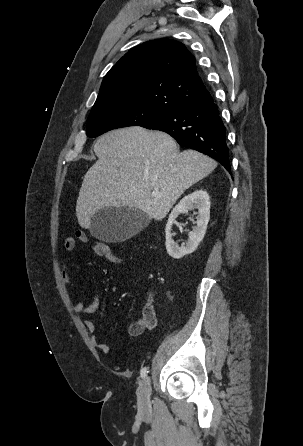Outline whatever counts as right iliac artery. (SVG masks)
Returning <instances> with one entry per match:
<instances>
[{
    "mask_svg": "<svg viewBox=\"0 0 303 446\" xmlns=\"http://www.w3.org/2000/svg\"><path fill=\"white\" fill-rule=\"evenodd\" d=\"M148 370L146 367L142 368L141 370V377L145 378L147 376Z\"/></svg>",
    "mask_w": 303,
    "mask_h": 446,
    "instance_id": "obj_1",
    "label": "right iliac artery"
}]
</instances>
